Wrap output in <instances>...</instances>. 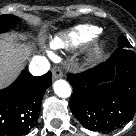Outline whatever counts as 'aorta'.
Instances as JSON below:
<instances>
[{
	"label": "aorta",
	"mask_w": 136,
	"mask_h": 136,
	"mask_svg": "<svg viewBox=\"0 0 136 136\" xmlns=\"http://www.w3.org/2000/svg\"><path fill=\"white\" fill-rule=\"evenodd\" d=\"M54 92L61 98H68L71 95V88L67 81L57 80L53 85Z\"/></svg>",
	"instance_id": "1"
}]
</instances>
